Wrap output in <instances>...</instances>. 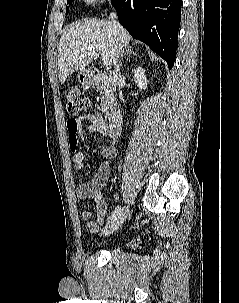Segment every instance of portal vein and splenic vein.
<instances>
[{"mask_svg": "<svg viewBox=\"0 0 239 303\" xmlns=\"http://www.w3.org/2000/svg\"><path fill=\"white\" fill-rule=\"evenodd\" d=\"M88 49L100 51L102 53L103 64L105 66L111 65V59L107 53V49H106L105 45H95V46L89 47Z\"/></svg>", "mask_w": 239, "mask_h": 303, "instance_id": "1", "label": "portal vein and splenic vein"}]
</instances>
